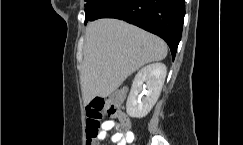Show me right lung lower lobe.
Listing matches in <instances>:
<instances>
[{"label":"right lung lower lobe","instance_id":"right-lung-lower-lobe-1","mask_svg":"<svg viewBox=\"0 0 243 145\" xmlns=\"http://www.w3.org/2000/svg\"><path fill=\"white\" fill-rule=\"evenodd\" d=\"M85 14V24L99 18H117L160 36L174 59L182 34L185 0H92Z\"/></svg>","mask_w":243,"mask_h":145}]
</instances>
